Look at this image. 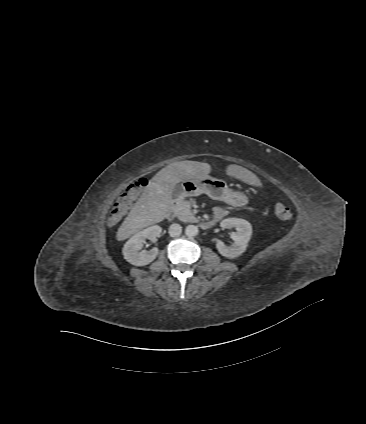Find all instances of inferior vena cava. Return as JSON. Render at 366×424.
Segmentation results:
<instances>
[{
	"mask_svg": "<svg viewBox=\"0 0 366 424\" xmlns=\"http://www.w3.org/2000/svg\"><path fill=\"white\" fill-rule=\"evenodd\" d=\"M181 232H182V227L179 224H177V223L172 224L169 227V235L171 237L179 236L181 234Z\"/></svg>",
	"mask_w": 366,
	"mask_h": 424,
	"instance_id": "inferior-vena-cava-1",
	"label": "inferior vena cava"
}]
</instances>
